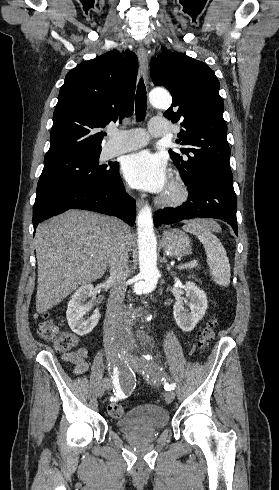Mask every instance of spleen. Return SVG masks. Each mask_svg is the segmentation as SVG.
<instances>
[{
    "instance_id": "3e777b00",
    "label": "spleen",
    "mask_w": 279,
    "mask_h": 490,
    "mask_svg": "<svg viewBox=\"0 0 279 490\" xmlns=\"http://www.w3.org/2000/svg\"><path fill=\"white\" fill-rule=\"evenodd\" d=\"M183 230L197 236L205 248L207 264L214 282L218 286L227 288L231 278L227 252L218 238L212 234V232H220V226L213 220H189L187 226H183Z\"/></svg>"
}]
</instances>
